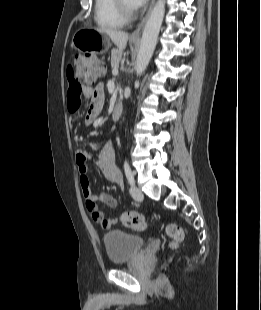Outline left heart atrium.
Instances as JSON below:
<instances>
[{
  "label": "left heart atrium",
  "instance_id": "1",
  "mask_svg": "<svg viewBox=\"0 0 261 310\" xmlns=\"http://www.w3.org/2000/svg\"><path fill=\"white\" fill-rule=\"evenodd\" d=\"M148 0H130V4L133 7V9H139L143 7Z\"/></svg>",
  "mask_w": 261,
  "mask_h": 310
}]
</instances>
